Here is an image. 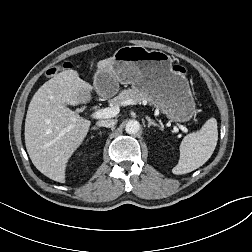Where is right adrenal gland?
I'll return each mask as SVG.
<instances>
[{
  "mask_svg": "<svg viewBox=\"0 0 252 252\" xmlns=\"http://www.w3.org/2000/svg\"><path fill=\"white\" fill-rule=\"evenodd\" d=\"M92 129H93V130H98V129H99V127H93Z\"/></svg>",
  "mask_w": 252,
  "mask_h": 252,
  "instance_id": "2a0ac1e0",
  "label": "right adrenal gland"
}]
</instances>
